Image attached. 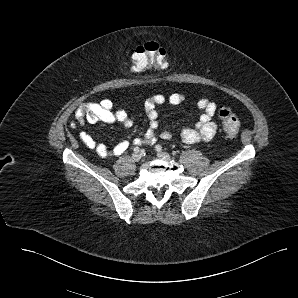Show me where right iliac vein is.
<instances>
[{
	"mask_svg": "<svg viewBox=\"0 0 298 298\" xmlns=\"http://www.w3.org/2000/svg\"><path fill=\"white\" fill-rule=\"evenodd\" d=\"M131 158L134 162H139L140 159H141V154L140 153H134V154H132Z\"/></svg>",
	"mask_w": 298,
	"mask_h": 298,
	"instance_id": "obj_1",
	"label": "right iliac vein"
}]
</instances>
